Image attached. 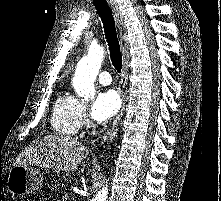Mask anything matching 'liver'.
Here are the masks:
<instances>
[{
	"instance_id": "6515ba94",
	"label": "liver",
	"mask_w": 221,
	"mask_h": 201,
	"mask_svg": "<svg viewBox=\"0 0 221 201\" xmlns=\"http://www.w3.org/2000/svg\"><path fill=\"white\" fill-rule=\"evenodd\" d=\"M89 154V148L76 139L48 135L38 138L16 158L15 165H31L55 170H75Z\"/></svg>"
}]
</instances>
